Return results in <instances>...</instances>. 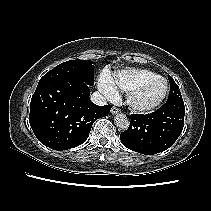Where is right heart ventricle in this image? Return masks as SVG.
Here are the masks:
<instances>
[{"label": "right heart ventricle", "mask_w": 211, "mask_h": 211, "mask_svg": "<svg viewBox=\"0 0 211 211\" xmlns=\"http://www.w3.org/2000/svg\"><path fill=\"white\" fill-rule=\"evenodd\" d=\"M157 75V73L148 69L127 68L114 72L110 77L117 89L127 94L143 81Z\"/></svg>", "instance_id": "1"}]
</instances>
